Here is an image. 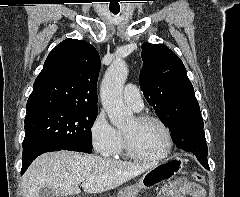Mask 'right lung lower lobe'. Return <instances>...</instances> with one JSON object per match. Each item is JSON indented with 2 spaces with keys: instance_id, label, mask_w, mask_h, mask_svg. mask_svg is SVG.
Instances as JSON below:
<instances>
[{
  "instance_id": "1",
  "label": "right lung lower lobe",
  "mask_w": 240,
  "mask_h": 197,
  "mask_svg": "<svg viewBox=\"0 0 240 197\" xmlns=\"http://www.w3.org/2000/svg\"><path fill=\"white\" fill-rule=\"evenodd\" d=\"M62 150L59 147L56 146H52V147H46L37 151H33L30 152L29 155L27 157L23 158V164H22V170H21V174H23L26 169L28 168V166L31 164V162L39 155H41L42 153L45 152H50V151H59Z\"/></svg>"
}]
</instances>
